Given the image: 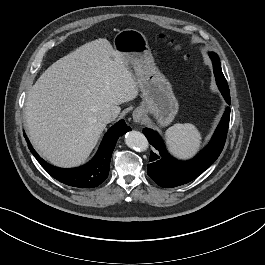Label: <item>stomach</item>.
Wrapping results in <instances>:
<instances>
[{
    "label": "stomach",
    "mask_w": 265,
    "mask_h": 265,
    "mask_svg": "<svg viewBox=\"0 0 265 265\" xmlns=\"http://www.w3.org/2000/svg\"><path fill=\"white\" fill-rule=\"evenodd\" d=\"M113 46L133 66L143 99L139 109L152 114L161 127L170 124L178 112V101L170 82L156 67L144 34L135 29L122 30L114 37Z\"/></svg>",
    "instance_id": "obj_1"
}]
</instances>
